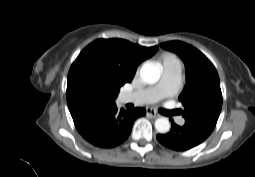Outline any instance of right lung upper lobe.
I'll return each mask as SVG.
<instances>
[{
  "label": "right lung upper lobe",
  "mask_w": 255,
  "mask_h": 177,
  "mask_svg": "<svg viewBox=\"0 0 255 177\" xmlns=\"http://www.w3.org/2000/svg\"><path fill=\"white\" fill-rule=\"evenodd\" d=\"M157 50L158 46L142 47L122 39H98L89 44L79 57L89 54L99 58L109 66L113 78L121 87L132 81L138 65ZM66 96L70 113L85 107L111 104L92 100L87 90L71 77L68 78Z\"/></svg>",
  "instance_id": "cb5924a9"
}]
</instances>
